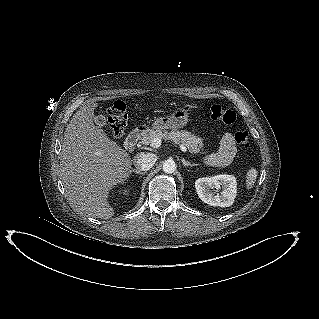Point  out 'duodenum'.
I'll use <instances>...</instances> for the list:
<instances>
[{"label":"duodenum","mask_w":319,"mask_h":319,"mask_svg":"<svg viewBox=\"0 0 319 319\" xmlns=\"http://www.w3.org/2000/svg\"><path fill=\"white\" fill-rule=\"evenodd\" d=\"M145 130V127H136L132 131H130V133L127 135L124 141L125 149L133 150L136 147L139 139L141 138Z\"/></svg>","instance_id":"duodenum-1"}]
</instances>
